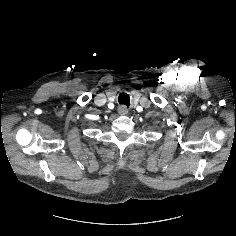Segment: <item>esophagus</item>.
Here are the masks:
<instances>
[{
    "instance_id": "obj_1",
    "label": "esophagus",
    "mask_w": 236,
    "mask_h": 236,
    "mask_svg": "<svg viewBox=\"0 0 236 236\" xmlns=\"http://www.w3.org/2000/svg\"><path fill=\"white\" fill-rule=\"evenodd\" d=\"M118 113H119L120 115H126V114L128 113V109H127L125 106H120V107L118 108Z\"/></svg>"
}]
</instances>
